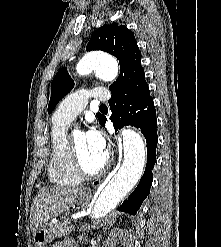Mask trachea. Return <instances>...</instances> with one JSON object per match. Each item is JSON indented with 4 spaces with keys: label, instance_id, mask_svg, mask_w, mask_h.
<instances>
[{
    "label": "trachea",
    "instance_id": "1",
    "mask_svg": "<svg viewBox=\"0 0 221 247\" xmlns=\"http://www.w3.org/2000/svg\"><path fill=\"white\" fill-rule=\"evenodd\" d=\"M99 109H107V106L105 104H101Z\"/></svg>",
    "mask_w": 221,
    "mask_h": 247
}]
</instances>
